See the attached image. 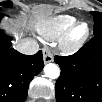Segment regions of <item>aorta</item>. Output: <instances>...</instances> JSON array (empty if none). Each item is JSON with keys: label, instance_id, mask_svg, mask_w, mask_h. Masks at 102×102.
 I'll list each match as a JSON object with an SVG mask.
<instances>
[{"label": "aorta", "instance_id": "1", "mask_svg": "<svg viewBox=\"0 0 102 102\" xmlns=\"http://www.w3.org/2000/svg\"><path fill=\"white\" fill-rule=\"evenodd\" d=\"M44 74L50 79H56L60 75V69L56 64L49 63L44 67Z\"/></svg>", "mask_w": 102, "mask_h": 102}]
</instances>
